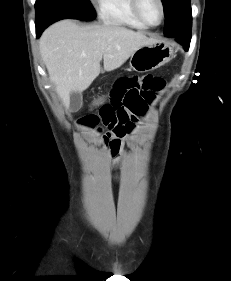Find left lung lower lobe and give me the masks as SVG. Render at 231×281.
I'll use <instances>...</instances> for the list:
<instances>
[{"label": "left lung lower lobe", "mask_w": 231, "mask_h": 281, "mask_svg": "<svg viewBox=\"0 0 231 281\" xmlns=\"http://www.w3.org/2000/svg\"><path fill=\"white\" fill-rule=\"evenodd\" d=\"M191 27L192 26L178 29L176 31H173L172 34L168 36L176 37L177 40L184 46V49L188 50L191 39Z\"/></svg>", "instance_id": "0a47b994"}]
</instances>
